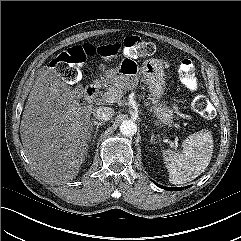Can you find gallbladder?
Instances as JSON below:
<instances>
[{"label": "gallbladder", "mask_w": 241, "mask_h": 241, "mask_svg": "<svg viewBox=\"0 0 241 241\" xmlns=\"http://www.w3.org/2000/svg\"><path fill=\"white\" fill-rule=\"evenodd\" d=\"M78 91L81 93L83 91V87L82 86H78Z\"/></svg>", "instance_id": "bac80fb5"}]
</instances>
